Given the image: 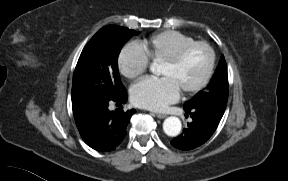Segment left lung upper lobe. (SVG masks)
<instances>
[{
    "instance_id": "obj_1",
    "label": "left lung upper lobe",
    "mask_w": 288,
    "mask_h": 181,
    "mask_svg": "<svg viewBox=\"0 0 288 181\" xmlns=\"http://www.w3.org/2000/svg\"><path fill=\"white\" fill-rule=\"evenodd\" d=\"M228 90L227 65L222 55L211 82L186 102L184 107L189 109L203 107L223 115L227 104Z\"/></svg>"
}]
</instances>
